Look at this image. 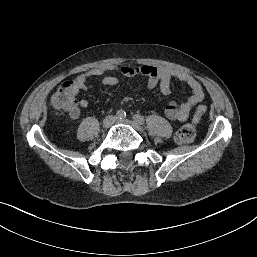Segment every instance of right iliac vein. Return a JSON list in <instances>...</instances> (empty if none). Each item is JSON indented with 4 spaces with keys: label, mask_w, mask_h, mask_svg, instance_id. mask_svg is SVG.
<instances>
[{
    "label": "right iliac vein",
    "mask_w": 257,
    "mask_h": 257,
    "mask_svg": "<svg viewBox=\"0 0 257 257\" xmlns=\"http://www.w3.org/2000/svg\"><path fill=\"white\" fill-rule=\"evenodd\" d=\"M114 117H112V116H108V117H106L104 120H103V127L104 128H109L112 124H113V122H114Z\"/></svg>",
    "instance_id": "1"
}]
</instances>
